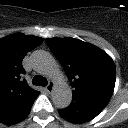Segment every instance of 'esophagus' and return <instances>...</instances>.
Listing matches in <instances>:
<instances>
[{
    "instance_id": "34e87169",
    "label": "esophagus",
    "mask_w": 128,
    "mask_h": 128,
    "mask_svg": "<svg viewBox=\"0 0 128 128\" xmlns=\"http://www.w3.org/2000/svg\"><path fill=\"white\" fill-rule=\"evenodd\" d=\"M45 89L48 93H51L54 89V83L52 81L49 82L48 85L45 87Z\"/></svg>"
}]
</instances>
